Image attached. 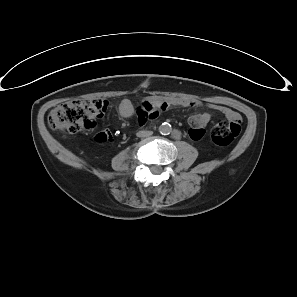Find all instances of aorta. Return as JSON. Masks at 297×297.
Segmentation results:
<instances>
[{
    "label": "aorta",
    "mask_w": 297,
    "mask_h": 297,
    "mask_svg": "<svg viewBox=\"0 0 297 297\" xmlns=\"http://www.w3.org/2000/svg\"><path fill=\"white\" fill-rule=\"evenodd\" d=\"M158 130L162 135H167L170 134L172 128L169 123H163L159 126Z\"/></svg>",
    "instance_id": "762f6f07"
}]
</instances>
